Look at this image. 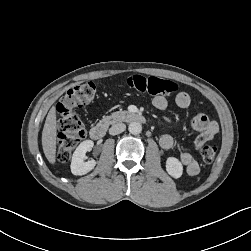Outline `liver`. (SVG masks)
Wrapping results in <instances>:
<instances>
[{"label": "liver", "instance_id": "1", "mask_svg": "<svg viewBox=\"0 0 251 251\" xmlns=\"http://www.w3.org/2000/svg\"><path fill=\"white\" fill-rule=\"evenodd\" d=\"M56 137H57V120L56 108L53 106L46 117L42 131V147L45 157L51 164L56 162Z\"/></svg>", "mask_w": 251, "mask_h": 251}]
</instances>
